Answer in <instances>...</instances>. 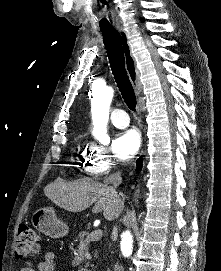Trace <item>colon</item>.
Returning a JSON list of instances; mask_svg holds the SVG:
<instances>
[{"mask_svg":"<svg viewBox=\"0 0 221 271\" xmlns=\"http://www.w3.org/2000/svg\"><path fill=\"white\" fill-rule=\"evenodd\" d=\"M39 241L34 229L27 224H20L18 238L15 246V256L26 259L38 253Z\"/></svg>","mask_w":221,"mask_h":271,"instance_id":"colon-1","label":"colon"}]
</instances>
